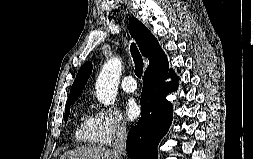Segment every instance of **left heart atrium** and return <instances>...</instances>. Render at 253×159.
<instances>
[{"label": "left heart atrium", "mask_w": 253, "mask_h": 159, "mask_svg": "<svg viewBox=\"0 0 253 159\" xmlns=\"http://www.w3.org/2000/svg\"><path fill=\"white\" fill-rule=\"evenodd\" d=\"M125 114L131 121L137 119L140 115L139 105L132 99L125 103Z\"/></svg>", "instance_id": "1"}]
</instances>
